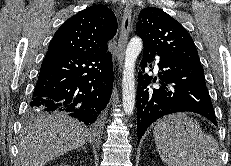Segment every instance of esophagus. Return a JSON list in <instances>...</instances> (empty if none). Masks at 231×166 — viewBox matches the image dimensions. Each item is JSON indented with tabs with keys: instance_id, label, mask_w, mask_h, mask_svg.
<instances>
[{
	"instance_id": "esophagus-1",
	"label": "esophagus",
	"mask_w": 231,
	"mask_h": 166,
	"mask_svg": "<svg viewBox=\"0 0 231 166\" xmlns=\"http://www.w3.org/2000/svg\"><path fill=\"white\" fill-rule=\"evenodd\" d=\"M131 3L127 2L124 8L123 12V17H122V24H121V30H120V35L118 39V45H117V50H118V64H119V69L121 70L122 64H123V59H124V54H125V49L128 41V36L131 28V14H132V8H131Z\"/></svg>"
}]
</instances>
